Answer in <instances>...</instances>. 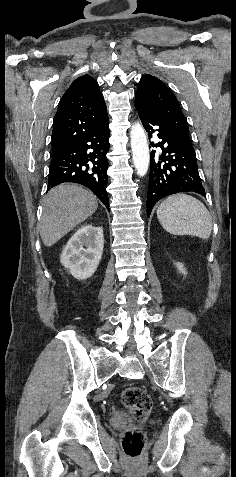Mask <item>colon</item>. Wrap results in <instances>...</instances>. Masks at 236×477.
I'll list each match as a JSON object with an SVG mask.
<instances>
[{
    "instance_id": "obj_1",
    "label": "colon",
    "mask_w": 236,
    "mask_h": 477,
    "mask_svg": "<svg viewBox=\"0 0 236 477\" xmlns=\"http://www.w3.org/2000/svg\"><path fill=\"white\" fill-rule=\"evenodd\" d=\"M122 403L140 420L146 419L152 410L153 403L148 393L141 387L130 386L121 394ZM125 454L132 459L141 456L144 446L143 434L136 429H128L122 436Z\"/></svg>"
}]
</instances>
